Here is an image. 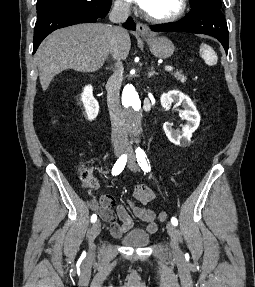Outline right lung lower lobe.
Instances as JSON below:
<instances>
[{
	"label": "right lung lower lobe",
	"mask_w": 255,
	"mask_h": 287,
	"mask_svg": "<svg viewBox=\"0 0 255 287\" xmlns=\"http://www.w3.org/2000/svg\"><path fill=\"white\" fill-rule=\"evenodd\" d=\"M106 15L97 16L86 10H67L38 19L34 28L33 53H35L43 39L54 30L79 23H94L97 19ZM123 26L129 30L136 29L132 18H128Z\"/></svg>",
	"instance_id": "98d812e1"
}]
</instances>
